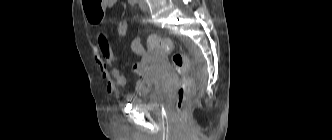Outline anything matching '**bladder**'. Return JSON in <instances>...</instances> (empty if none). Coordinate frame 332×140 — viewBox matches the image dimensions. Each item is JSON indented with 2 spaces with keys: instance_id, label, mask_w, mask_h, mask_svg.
<instances>
[{
  "instance_id": "obj_1",
  "label": "bladder",
  "mask_w": 332,
  "mask_h": 140,
  "mask_svg": "<svg viewBox=\"0 0 332 140\" xmlns=\"http://www.w3.org/2000/svg\"><path fill=\"white\" fill-rule=\"evenodd\" d=\"M163 97L158 92L148 93L145 99H135L131 103L134 107L146 111H158L161 107Z\"/></svg>"
}]
</instances>
